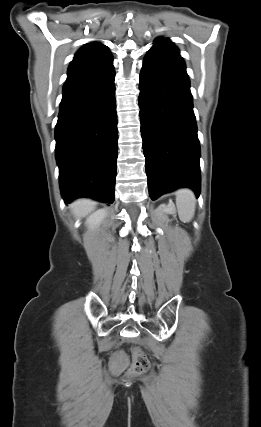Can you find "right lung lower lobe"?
<instances>
[{
  "instance_id": "98d812e1",
  "label": "right lung lower lobe",
  "mask_w": 261,
  "mask_h": 427,
  "mask_svg": "<svg viewBox=\"0 0 261 427\" xmlns=\"http://www.w3.org/2000/svg\"><path fill=\"white\" fill-rule=\"evenodd\" d=\"M115 70L65 85L55 128L64 200L91 197L113 203L118 131Z\"/></svg>"
}]
</instances>
